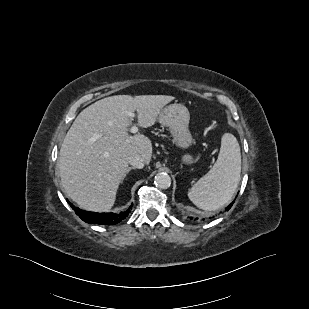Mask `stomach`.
I'll return each mask as SVG.
<instances>
[{
    "mask_svg": "<svg viewBox=\"0 0 309 309\" xmlns=\"http://www.w3.org/2000/svg\"><path fill=\"white\" fill-rule=\"evenodd\" d=\"M190 114L182 104H171L166 106L159 114V121L163 126L169 128L176 146L181 149L189 148L193 143V137L189 130ZM193 157L186 153L182 156V162L189 164Z\"/></svg>",
    "mask_w": 309,
    "mask_h": 309,
    "instance_id": "0dacf381",
    "label": "stomach"
}]
</instances>
